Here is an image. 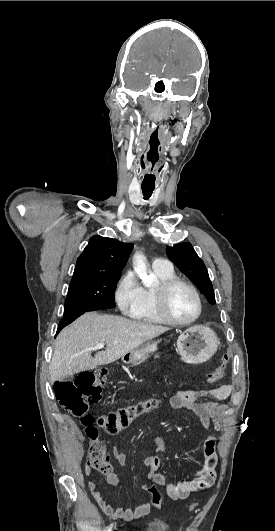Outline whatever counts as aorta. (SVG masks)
I'll return each instance as SVG.
<instances>
[{
	"label": "aorta",
	"instance_id": "1",
	"mask_svg": "<svg viewBox=\"0 0 275 531\" xmlns=\"http://www.w3.org/2000/svg\"><path fill=\"white\" fill-rule=\"evenodd\" d=\"M146 257L136 253L133 257V269L134 273L140 277L144 287H152L154 283V277H150L147 273Z\"/></svg>",
	"mask_w": 275,
	"mask_h": 531
}]
</instances>
